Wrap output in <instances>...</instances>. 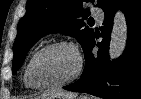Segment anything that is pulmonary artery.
<instances>
[{
	"label": "pulmonary artery",
	"instance_id": "1",
	"mask_svg": "<svg viewBox=\"0 0 141 99\" xmlns=\"http://www.w3.org/2000/svg\"><path fill=\"white\" fill-rule=\"evenodd\" d=\"M93 16L98 20L101 21L103 19V13L100 10H95L93 12Z\"/></svg>",
	"mask_w": 141,
	"mask_h": 99
}]
</instances>
